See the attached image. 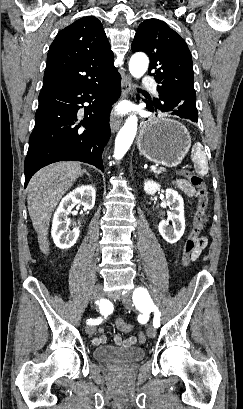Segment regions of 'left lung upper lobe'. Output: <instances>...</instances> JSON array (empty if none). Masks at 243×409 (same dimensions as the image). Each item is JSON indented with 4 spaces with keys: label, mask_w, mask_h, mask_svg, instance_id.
Returning <instances> with one entry per match:
<instances>
[{
    "label": "left lung upper lobe",
    "mask_w": 243,
    "mask_h": 409,
    "mask_svg": "<svg viewBox=\"0 0 243 409\" xmlns=\"http://www.w3.org/2000/svg\"><path fill=\"white\" fill-rule=\"evenodd\" d=\"M131 48L150 57L149 73L158 83L159 96H173L196 107L192 57L178 33L158 19H147L139 25Z\"/></svg>",
    "instance_id": "1"
}]
</instances>
